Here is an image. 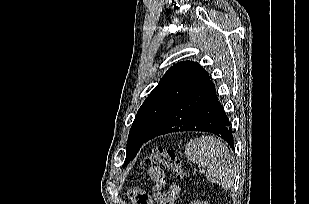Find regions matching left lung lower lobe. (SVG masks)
<instances>
[{
  "label": "left lung lower lobe",
  "instance_id": "left-lung-lower-lobe-1",
  "mask_svg": "<svg viewBox=\"0 0 309 204\" xmlns=\"http://www.w3.org/2000/svg\"><path fill=\"white\" fill-rule=\"evenodd\" d=\"M179 131L213 133L234 148L231 124L217 99L212 81L204 83L168 108L148 132L143 143L156 136Z\"/></svg>",
  "mask_w": 309,
  "mask_h": 204
}]
</instances>
